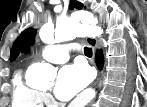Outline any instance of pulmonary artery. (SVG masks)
I'll return each instance as SVG.
<instances>
[{
    "label": "pulmonary artery",
    "instance_id": "e3ab8cb5",
    "mask_svg": "<svg viewBox=\"0 0 147 107\" xmlns=\"http://www.w3.org/2000/svg\"><path fill=\"white\" fill-rule=\"evenodd\" d=\"M71 46L47 45L41 50V56L52 63H64L69 59Z\"/></svg>",
    "mask_w": 147,
    "mask_h": 107
}]
</instances>
